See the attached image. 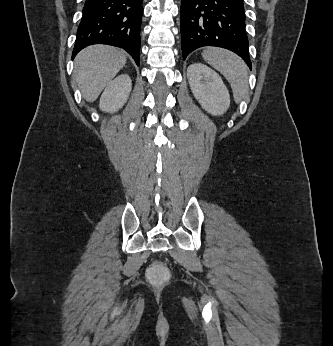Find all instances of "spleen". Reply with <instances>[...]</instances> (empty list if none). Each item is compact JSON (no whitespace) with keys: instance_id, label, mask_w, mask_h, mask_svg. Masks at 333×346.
I'll return each mask as SVG.
<instances>
[{"instance_id":"spleen-1","label":"spleen","mask_w":333,"mask_h":346,"mask_svg":"<svg viewBox=\"0 0 333 346\" xmlns=\"http://www.w3.org/2000/svg\"><path fill=\"white\" fill-rule=\"evenodd\" d=\"M202 56L229 81L236 102L246 97L249 88L248 72L245 62L240 57L220 48H208L203 51Z\"/></svg>"}]
</instances>
